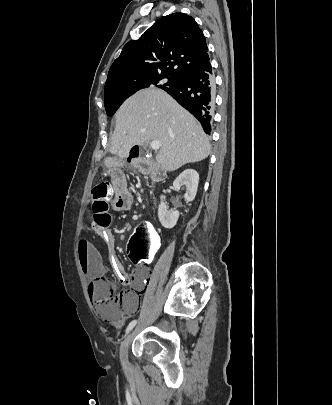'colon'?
Wrapping results in <instances>:
<instances>
[{"label": "colon", "instance_id": "obj_1", "mask_svg": "<svg viewBox=\"0 0 332 405\" xmlns=\"http://www.w3.org/2000/svg\"><path fill=\"white\" fill-rule=\"evenodd\" d=\"M113 189L109 182H102L92 191L94 226L99 230H106L110 224V198L114 197ZM153 230L154 227L150 222H141L134 227L128 248L133 267H148L152 256H157L160 238L158 231ZM89 295L100 316L113 319L125 313L133 292L119 293L113 280L98 277L90 284Z\"/></svg>", "mask_w": 332, "mask_h": 405}]
</instances>
